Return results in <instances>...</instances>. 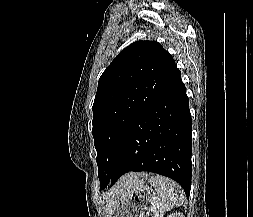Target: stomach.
Segmentation results:
<instances>
[{"label": "stomach", "instance_id": "1", "mask_svg": "<svg viewBox=\"0 0 253 217\" xmlns=\"http://www.w3.org/2000/svg\"><path fill=\"white\" fill-rule=\"evenodd\" d=\"M154 200L149 187L143 183L115 199L108 217H149Z\"/></svg>", "mask_w": 253, "mask_h": 217}]
</instances>
